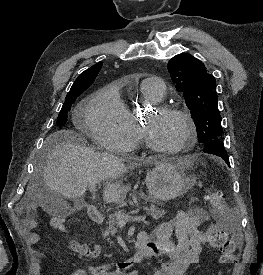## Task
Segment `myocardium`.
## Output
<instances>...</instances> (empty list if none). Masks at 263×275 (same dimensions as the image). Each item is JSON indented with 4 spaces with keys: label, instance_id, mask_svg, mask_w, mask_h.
<instances>
[{
    "label": "myocardium",
    "instance_id": "1",
    "mask_svg": "<svg viewBox=\"0 0 263 275\" xmlns=\"http://www.w3.org/2000/svg\"><path fill=\"white\" fill-rule=\"evenodd\" d=\"M154 112L158 114H172V115H177L181 117L187 124L188 127V132L187 136L184 139V141L176 148L173 149H165L157 146L150 138V136L147 133V129L145 127L144 123H141L139 125V130H140V137L142 141L144 142L145 146L152 152L159 154V155H164V156H173L180 154L186 150L191 149L194 147L196 140H197V126L196 123L190 114L189 111L178 107L174 105H161V106H156L154 108Z\"/></svg>",
    "mask_w": 263,
    "mask_h": 275
}]
</instances>
